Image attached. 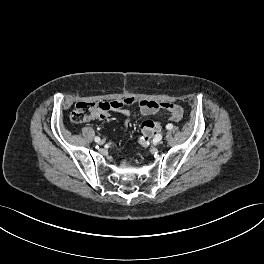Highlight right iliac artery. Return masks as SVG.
Instances as JSON below:
<instances>
[{
  "label": "right iliac artery",
  "mask_w": 264,
  "mask_h": 264,
  "mask_svg": "<svg viewBox=\"0 0 264 264\" xmlns=\"http://www.w3.org/2000/svg\"><path fill=\"white\" fill-rule=\"evenodd\" d=\"M100 138L99 137H95V142H99Z\"/></svg>",
  "instance_id": "82829eb1"
}]
</instances>
